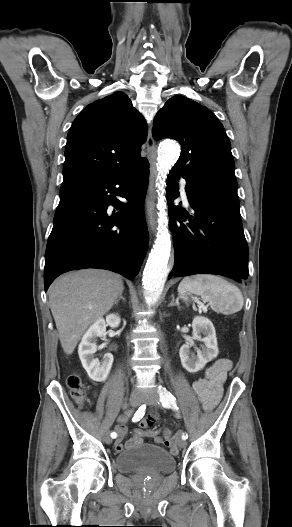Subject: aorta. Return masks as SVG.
I'll use <instances>...</instances> for the list:
<instances>
[{
    "mask_svg": "<svg viewBox=\"0 0 292 527\" xmlns=\"http://www.w3.org/2000/svg\"><path fill=\"white\" fill-rule=\"evenodd\" d=\"M180 155V147L173 141L164 142L158 150L159 158V198L158 208L160 210L158 234L155 244L151 249L146 266L143 271L144 298L148 304H155L163 290L164 282L168 272V261L170 257L171 241L166 228L167 218L165 214L166 202L164 194L165 177L168 170L177 161Z\"/></svg>",
    "mask_w": 292,
    "mask_h": 527,
    "instance_id": "aorta-1",
    "label": "aorta"
}]
</instances>
